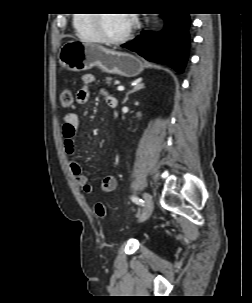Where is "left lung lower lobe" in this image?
<instances>
[{
	"instance_id": "0a47b994",
	"label": "left lung lower lobe",
	"mask_w": 252,
	"mask_h": 303,
	"mask_svg": "<svg viewBox=\"0 0 252 303\" xmlns=\"http://www.w3.org/2000/svg\"><path fill=\"white\" fill-rule=\"evenodd\" d=\"M165 27L159 34L143 31L129 43L121 45L145 59L163 63L182 73L188 58L190 37L188 14H164Z\"/></svg>"
}]
</instances>
